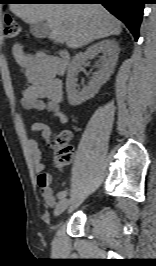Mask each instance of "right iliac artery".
<instances>
[{"mask_svg": "<svg viewBox=\"0 0 156 266\" xmlns=\"http://www.w3.org/2000/svg\"><path fill=\"white\" fill-rule=\"evenodd\" d=\"M66 195H67V191H61L57 194V197L59 200H62V199H65Z\"/></svg>", "mask_w": 156, "mask_h": 266, "instance_id": "obj_1", "label": "right iliac artery"}]
</instances>
